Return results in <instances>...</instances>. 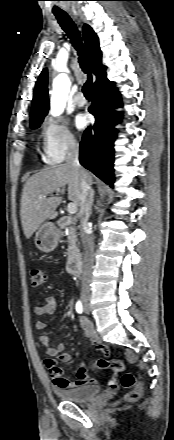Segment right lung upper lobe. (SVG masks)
Masks as SVG:
<instances>
[{"instance_id": "obj_1", "label": "right lung upper lobe", "mask_w": 174, "mask_h": 440, "mask_svg": "<svg viewBox=\"0 0 174 440\" xmlns=\"http://www.w3.org/2000/svg\"><path fill=\"white\" fill-rule=\"evenodd\" d=\"M83 38L86 45L88 57L90 59V65L93 73L96 75L97 80L94 86L97 85L104 75L106 74V67L102 65V53L99 47V41L97 35L92 28L85 24L83 27ZM48 72L44 69L37 79L34 97L32 100L31 109V124L37 121H43L49 110V98H48Z\"/></svg>"}]
</instances>
